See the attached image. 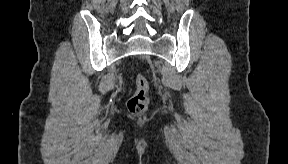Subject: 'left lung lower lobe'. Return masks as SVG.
<instances>
[{"label":"left lung lower lobe","mask_w":288,"mask_h":164,"mask_svg":"<svg viewBox=\"0 0 288 164\" xmlns=\"http://www.w3.org/2000/svg\"><path fill=\"white\" fill-rule=\"evenodd\" d=\"M255 79H256V88L255 91H253V95L256 99L259 101H262L264 99V90L267 85L266 77L263 73H256L255 72Z\"/></svg>","instance_id":"1"}]
</instances>
